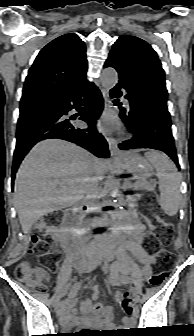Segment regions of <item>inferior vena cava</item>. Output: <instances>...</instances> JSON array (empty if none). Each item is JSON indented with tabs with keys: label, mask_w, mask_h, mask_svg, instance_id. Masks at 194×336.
Wrapping results in <instances>:
<instances>
[{
	"label": "inferior vena cava",
	"mask_w": 194,
	"mask_h": 336,
	"mask_svg": "<svg viewBox=\"0 0 194 336\" xmlns=\"http://www.w3.org/2000/svg\"><path fill=\"white\" fill-rule=\"evenodd\" d=\"M88 167L93 177L89 179L86 187L85 203L93 207L97 205V200L99 199L98 181L102 179V176L97 171L99 166L96 162H91Z\"/></svg>",
	"instance_id": "inferior-vena-cava-1"
}]
</instances>
